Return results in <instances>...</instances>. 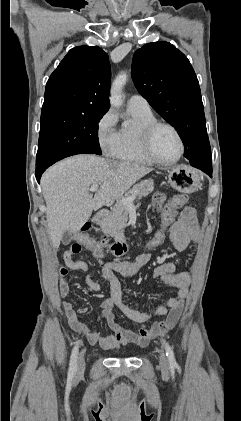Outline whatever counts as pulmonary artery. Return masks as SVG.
<instances>
[{"label":"pulmonary artery","instance_id":"1","mask_svg":"<svg viewBox=\"0 0 241 421\" xmlns=\"http://www.w3.org/2000/svg\"><path fill=\"white\" fill-rule=\"evenodd\" d=\"M127 106L129 109H138V110H144V111L151 110L148 101L141 95H137V94L131 95L129 97L127 101Z\"/></svg>","mask_w":241,"mask_h":421}]
</instances>
